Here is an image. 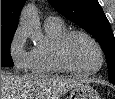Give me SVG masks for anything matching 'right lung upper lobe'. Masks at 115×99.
<instances>
[{"label":"right lung upper lobe","instance_id":"obj_1","mask_svg":"<svg viewBox=\"0 0 115 99\" xmlns=\"http://www.w3.org/2000/svg\"><path fill=\"white\" fill-rule=\"evenodd\" d=\"M26 0H1V31L15 32Z\"/></svg>","mask_w":115,"mask_h":99}]
</instances>
